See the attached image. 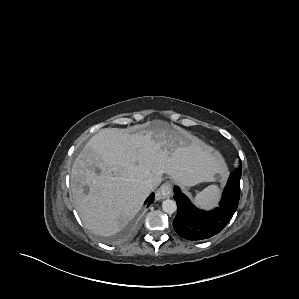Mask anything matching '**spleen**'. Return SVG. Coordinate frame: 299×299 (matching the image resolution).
<instances>
[{
  "label": "spleen",
  "mask_w": 299,
  "mask_h": 299,
  "mask_svg": "<svg viewBox=\"0 0 299 299\" xmlns=\"http://www.w3.org/2000/svg\"><path fill=\"white\" fill-rule=\"evenodd\" d=\"M219 197V188L211 185L198 193L195 197V203L200 207H210Z\"/></svg>",
  "instance_id": "3e777b00"
}]
</instances>
